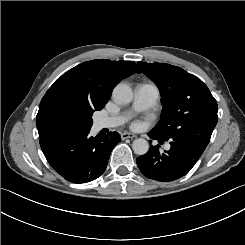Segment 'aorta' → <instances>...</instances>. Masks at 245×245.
<instances>
[{
    "instance_id": "aorta-1",
    "label": "aorta",
    "mask_w": 245,
    "mask_h": 245,
    "mask_svg": "<svg viewBox=\"0 0 245 245\" xmlns=\"http://www.w3.org/2000/svg\"><path fill=\"white\" fill-rule=\"evenodd\" d=\"M113 98L116 102L121 104L130 103L133 99L132 89L127 84H118L113 90ZM132 149L135 154L144 155L149 150V144L145 139L138 138L133 141Z\"/></svg>"
}]
</instances>
